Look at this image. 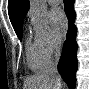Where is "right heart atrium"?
Listing matches in <instances>:
<instances>
[{
  "label": "right heart atrium",
  "mask_w": 89,
  "mask_h": 89,
  "mask_svg": "<svg viewBox=\"0 0 89 89\" xmlns=\"http://www.w3.org/2000/svg\"><path fill=\"white\" fill-rule=\"evenodd\" d=\"M32 25L35 45L41 56L50 61L59 47V41L46 20L32 18Z\"/></svg>",
  "instance_id": "obj_1"
}]
</instances>
